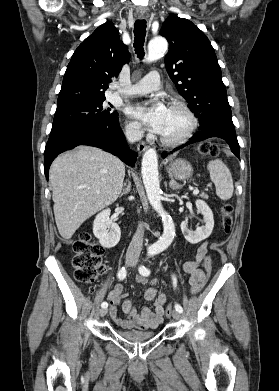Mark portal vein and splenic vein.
Masks as SVG:
<instances>
[{
    "label": "portal vein and splenic vein",
    "mask_w": 279,
    "mask_h": 391,
    "mask_svg": "<svg viewBox=\"0 0 279 391\" xmlns=\"http://www.w3.org/2000/svg\"><path fill=\"white\" fill-rule=\"evenodd\" d=\"M199 193V190L198 189H195L194 191H193V194L194 195H197Z\"/></svg>",
    "instance_id": "18ae733b"
}]
</instances>
